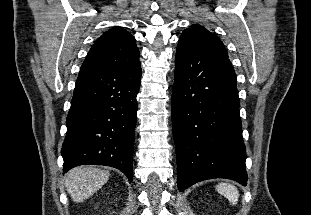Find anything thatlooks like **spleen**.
<instances>
[{"instance_id":"1","label":"spleen","mask_w":311,"mask_h":215,"mask_svg":"<svg viewBox=\"0 0 311 215\" xmlns=\"http://www.w3.org/2000/svg\"><path fill=\"white\" fill-rule=\"evenodd\" d=\"M216 190L225 196L232 204H236L239 197L237 188L228 183H219L216 186Z\"/></svg>"}]
</instances>
